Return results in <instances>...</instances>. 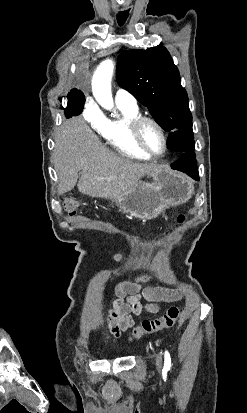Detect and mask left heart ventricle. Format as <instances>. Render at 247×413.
Here are the masks:
<instances>
[{"label": "left heart ventricle", "mask_w": 247, "mask_h": 413, "mask_svg": "<svg viewBox=\"0 0 247 413\" xmlns=\"http://www.w3.org/2000/svg\"><path fill=\"white\" fill-rule=\"evenodd\" d=\"M140 137L142 143L149 150L160 154L164 148V141L161 133L149 124H145L141 128Z\"/></svg>", "instance_id": "b2bd125f"}]
</instances>
